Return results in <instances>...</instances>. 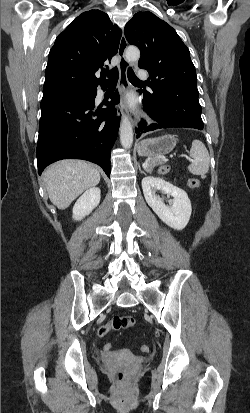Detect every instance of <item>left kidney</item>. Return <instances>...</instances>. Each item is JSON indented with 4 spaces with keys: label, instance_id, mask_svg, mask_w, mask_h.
Instances as JSON below:
<instances>
[{
    "label": "left kidney",
    "instance_id": "left-kidney-1",
    "mask_svg": "<svg viewBox=\"0 0 250 413\" xmlns=\"http://www.w3.org/2000/svg\"><path fill=\"white\" fill-rule=\"evenodd\" d=\"M142 189L146 202L165 224L175 230H183L186 227L192 208L184 190L161 178L152 176L143 178ZM157 191L172 196V204L165 205L163 199L156 194Z\"/></svg>",
    "mask_w": 250,
    "mask_h": 413
}]
</instances>
